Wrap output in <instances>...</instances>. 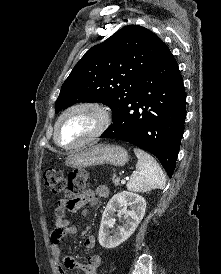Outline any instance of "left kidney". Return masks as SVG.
<instances>
[{"label": "left kidney", "mask_w": 221, "mask_h": 274, "mask_svg": "<svg viewBox=\"0 0 221 274\" xmlns=\"http://www.w3.org/2000/svg\"><path fill=\"white\" fill-rule=\"evenodd\" d=\"M129 206L130 210L127 209ZM146 210V200L135 193L122 191L114 195L108 202L101 220L98 240L102 247L112 249L126 241L136 230L144 217ZM119 216L123 215L125 223L119 226L112 236L109 228L115 224V212Z\"/></svg>", "instance_id": "5707ae66"}]
</instances>
